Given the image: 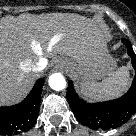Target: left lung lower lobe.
I'll list each match as a JSON object with an SVG mask.
<instances>
[{
	"label": "left lung lower lobe",
	"instance_id": "left-lung-lower-lobe-1",
	"mask_svg": "<svg viewBox=\"0 0 136 136\" xmlns=\"http://www.w3.org/2000/svg\"><path fill=\"white\" fill-rule=\"evenodd\" d=\"M132 59V66L136 68V55L131 44L123 39ZM67 100L76 118L85 126L97 130L99 128H116L119 124L127 121L136 110V73L130 89L118 99L91 103L80 99L68 83Z\"/></svg>",
	"mask_w": 136,
	"mask_h": 136
}]
</instances>
